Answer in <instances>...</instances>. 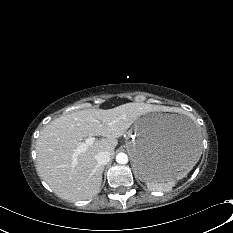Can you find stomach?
I'll use <instances>...</instances> for the list:
<instances>
[{"label": "stomach", "instance_id": "stomach-1", "mask_svg": "<svg viewBox=\"0 0 233 233\" xmlns=\"http://www.w3.org/2000/svg\"><path fill=\"white\" fill-rule=\"evenodd\" d=\"M126 145L136 176L147 182L183 176L201 154L197 130L182 114L140 116L128 132Z\"/></svg>", "mask_w": 233, "mask_h": 233}]
</instances>
